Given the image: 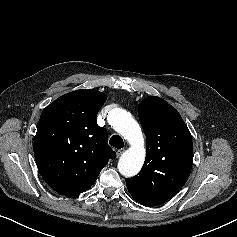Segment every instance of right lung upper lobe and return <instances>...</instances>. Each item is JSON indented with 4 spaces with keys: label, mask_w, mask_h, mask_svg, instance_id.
I'll return each mask as SVG.
<instances>
[{
    "label": "right lung upper lobe",
    "mask_w": 237,
    "mask_h": 237,
    "mask_svg": "<svg viewBox=\"0 0 237 237\" xmlns=\"http://www.w3.org/2000/svg\"><path fill=\"white\" fill-rule=\"evenodd\" d=\"M106 95L93 89L69 92L42 112L34 140L37 167L55 191L75 195L91 188L116 153L96 117Z\"/></svg>",
    "instance_id": "right-lung-upper-lobe-1"
}]
</instances>
